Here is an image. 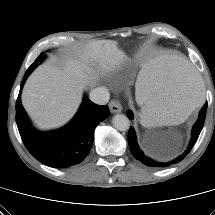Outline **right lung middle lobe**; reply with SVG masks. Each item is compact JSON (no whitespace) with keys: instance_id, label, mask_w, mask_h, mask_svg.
<instances>
[{"instance_id":"1","label":"right lung middle lobe","mask_w":215,"mask_h":215,"mask_svg":"<svg viewBox=\"0 0 215 215\" xmlns=\"http://www.w3.org/2000/svg\"><path fill=\"white\" fill-rule=\"evenodd\" d=\"M44 57H45L44 53H41L29 68L34 69L38 64H40L44 60Z\"/></svg>"}]
</instances>
